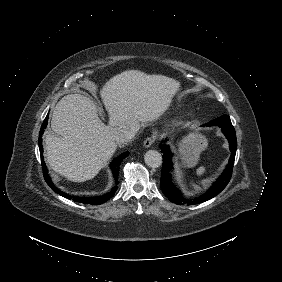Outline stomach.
I'll return each instance as SVG.
<instances>
[{
    "mask_svg": "<svg viewBox=\"0 0 282 282\" xmlns=\"http://www.w3.org/2000/svg\"><path fill=\"white\" fill-rule=\"evenodd\" d=\"M175 147L179 167L189 169L199 163L201 155L209 147V140L198 131H189L177 140Z\"/></svg>",
    "mask_w": 282,
    "mask_h": 282,
    "instance_id": "obj_1",
    "label": "stomach"
}]
</instances>
